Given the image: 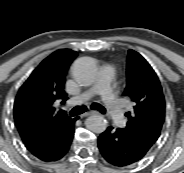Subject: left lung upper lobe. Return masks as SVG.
Wrapping results in <instances>:
<instances>
[{
  "instance_id": "5c2ea615",
  "label": "left lung upper lobe",
  "mask_w": 184,
  "mask_h": 173,
  "mask_svg": "<svg viewBox=\"0 0 184 173\" xmlns=\"http://www.w3.org/2000/svg\"><path fill=\"white\" fill-rule=\"evenodd\" d=\"M126 75L123 95L133 101L134 109L126 113L128 123L124 130L150 149L157 141L165 119L162 88L148 62L133 50L128 52Z\"/></svg>"
}]
</instances>
